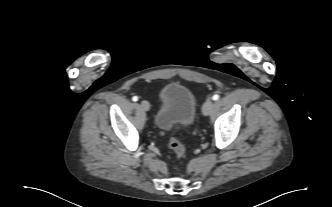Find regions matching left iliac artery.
Here are the masks:
<instances>
[{"label": "left iliac artery", "instance_id": "44dca946", "mask_svg": "<svg viewBox=\"0 0 332 207\" xmlns=\"http://www.w3.org/2000/svg\"><path fill=\"white\" fill-rule=\"evenodd\" d=\"M212 99H213L214 101L218 100V99H219V95H218V94L213 95Z\"/></svg>", "mask_w": 332, "mask_h": 207}]
</instances>
